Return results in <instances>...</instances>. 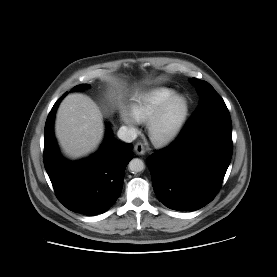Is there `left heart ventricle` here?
<instances>
[{"instance_id": "obj_1", "label": "left heart ventricle", "mask_w": 277, "mask_h": 277, "mask_svg": "<svg viewBox=\"0 0 277 277\" xmlns=\"http://www.w3.org/2000/svg\"><path fill=\"white\" fill-rule=\"evenodd\" d=\"M183 110L182 101L175 102L166 112L163 120L160 123L159 130L161 132L169 131L179 119Z\"/></svg>"}]
</instances>
